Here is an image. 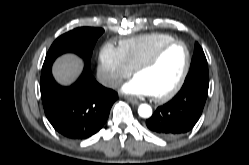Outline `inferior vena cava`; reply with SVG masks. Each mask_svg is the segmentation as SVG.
Segmentation results:
<instances>
[{
    "mask_svg": "<svg viewBox=\"0 0 249 165\" xmlns=\"http://www.w3.org/2000/svg\"><path fill=\"white\" fill-rule=\"evenodd\" d=\"M121 80L119 79H114V78H108L106 79L103 84L107 87H111V88H117L121 85Z\"/></svg>",
    "mask_w": 249,
    "mask_h": 165,
    "instance_id": "inferior-vena-cava-1",
    "label": "inferior vena cava"
}]
</instances>
